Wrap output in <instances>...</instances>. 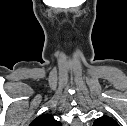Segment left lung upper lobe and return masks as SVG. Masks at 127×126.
Returning a JSON list of instances; mask_svg holds the SVG:
<instances>
[{"instance_id": "left-lung-upper-lobe-1", "label": "left lung upper lobe", "mask_w": 127, "mask_h": 126, "mask_svg": "<svg viewBox=\"0 0 127 126\" xmlns=\"http://www.w3.org/2000/svg\"><path fill=\"white\" fill-rule=\"evenodd\" d=\"M93 126H119L118 123L111 117L103 115L95 120Z\"/></svg>"}]
</instances>
